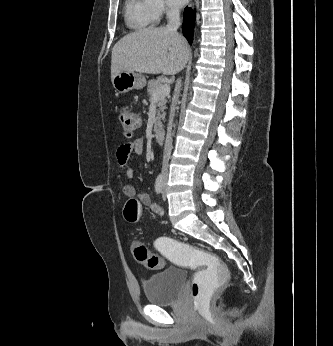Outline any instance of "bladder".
Wrapping results in <instances>:
<instances>
[{
	"label": "bladder",
	"instance_id": "bladder-1",
	"mask_svg": "<svg viewBox=\"0 0 333 346\" xmlns=\"http://www.w3.org/2000/svg\"><path fill=\"white\" fill-rule=\"evenodd\" d=\"M185 281L186 272L182 268H166L144 281L146 299L152 305L173 303L181 293Z\"/></svg>",
	"mask_w": 333,
	"mask_h": 346
}]
</instances>
